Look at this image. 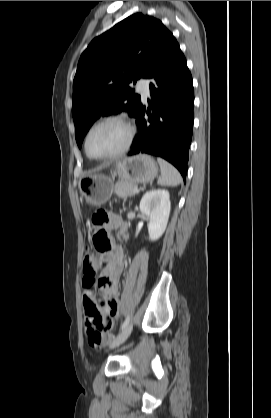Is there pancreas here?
I'll use <instances>...</instances> for the list:
<instances>
[{
    "label": "pancreas",
    "mask_w": 271,
    "mask_h": 418,
    "mask_svg": "<svg viewBox=\"0 0 271 418\" xmlns=\"http://www.w3.org/2000/svg\"><path fill=\"white\" fill-rule=\"evenodd\" d=\"M135 188H137L136 184L120 180L116 183L114 192L118 197L126 199L127 197L135 195L133 191Z\"/></svg>",
    "instance_id": "obj_1"
}]
</instances>
